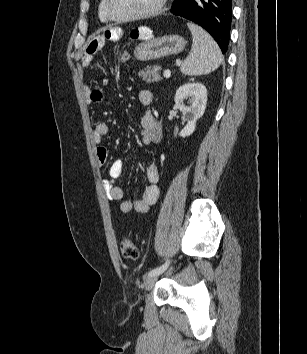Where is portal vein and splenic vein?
Here are the masks:
<instances>
[{
  "label": "portal vein and splenic vein",
  "instance_id": "obj_1",
  "mask_svg": "<svg viewBox=\"0 0 307 354\" xmlns=\"http://www.w3.org/2000/svg\"><path fill=\"white\" fill-rule=\"evenodd\" d=\"M170 76H171L170 70H169V69H166V70L164 71V77H165V78H169Z\"/></svg>",
  "mask_w": 307,
  "mask_h": 354
}]
</instances>
